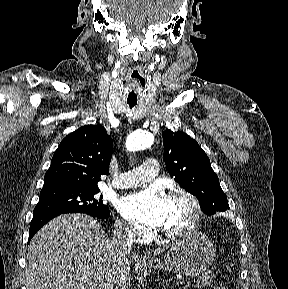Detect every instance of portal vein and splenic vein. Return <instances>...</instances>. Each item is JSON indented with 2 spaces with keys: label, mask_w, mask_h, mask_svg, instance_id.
<instances>
[{
  "label": "portal vein and splenic vein",
  "mask_w": 288,
  "mask_h": 289,
  "mask_svg": "<svg viewBox=\"0 0 288 289\" xmlns=\"http://www.w3.org/2000/svg\"><path fill=\"white\" fill-rule=\"evenodd\" d=\"M191 284H192L191 282H186L183 289H187L189 286H191Z\"/></svg>",
  "instance_id": "obj_1"
}]
</instances>
